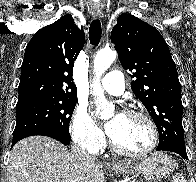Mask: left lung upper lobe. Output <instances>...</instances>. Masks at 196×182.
Masks as SVG:
<instances>
[{"instance_id":"obj_1","label":"left lung upper lobe","mask_w":196,"mask_h":182,"mask_svg":"<svg viewBox=\"0 0 196 182\" xmlns=\"http://www.w3.org/2000/svg\"><path fill=\"white\" fill-rule=\"evenodd\" d=\"M111 42L123 68L136 77L131 88L157 126L158 147H185L180 82L162 35L155 27L124 13L112 29Z\"/></svg>"}]
</instances>
